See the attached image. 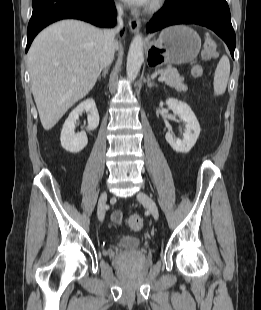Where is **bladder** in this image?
Wrapping results in <instances>:
<instances>
[{
  "instance_id": "bladder-1",
  "label": "bladder",
  "mask_w": 261,
  "mask_h": 310,
  "mask_svg": "<svg viewBox=\"0 0 261 310\" xmlns=\"http://www.w3.org/2000/svg\"><path fill=\"white\" fill-rule=\"evenodd\" d=\"M117 247L124 251H137L144 247V242L137 236H123L117 241Z\"/></svg>"
}]
</instances>
